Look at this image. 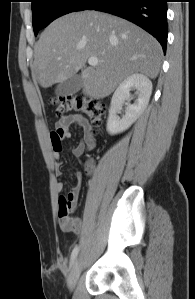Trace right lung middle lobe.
Segmentation results:
<instances>
[{
    "mask_svg": "<svg viewBox=\"0 0 195 299\" xmlns=\"http://www.w3.org/2000/svg\"><path fill=\"white\" fill-rule=\"evenodd\" d=\"M33 29L38 31L56 18L75 11L84 10L92 0H31Z\"/></svg>",
    "mask_w": 195,
    "mask_h": 299,
    "instance_id": "1",
    "label": "right lung middle lobe"
}]
</instances>
